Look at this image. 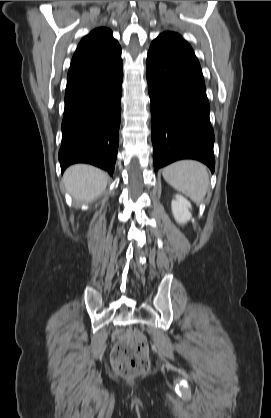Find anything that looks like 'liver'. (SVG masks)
<instances>
[{"instance_id":"1","label":"liver","mask_w":271,"mask_h":418,"mask_svg":"<svg viewBox=\"0 0 271 418\" xmlns=\"http://www.w3.org/2000/svg\"><path fill=\"white\" fill-rule=\"evenodd\" d=\"M107 174L91 165L70 166L63 175L65 189L74 200L91 202L101 195L107 186Z\"/></svg>"}]
</instances>
